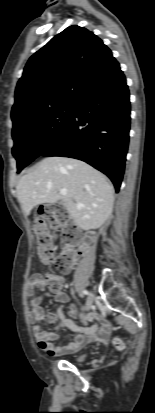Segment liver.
I'll use <instances>...</instances> for the list:
<instances>
[{"instance_id":"liver-1","label":"liver","mask_w":155,"mask_h":413,"mask_svg":"<svg viewBox=\"0 0 155 413\" xmlns=\"http://www.w3.org/2000/svg\"><path fill=\"white\" fill-rule=\"evenodd\" d=\"M63 188L65 196L60 194ZM16 192L26 216L40 204L62 201L82 230L101 227L113 209L114 188L108 179L87 163L68 157L40 161L20 178Z\"/></svg>"}]
</instances>
